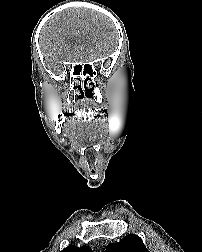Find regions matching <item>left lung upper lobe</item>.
Here are the masks:
<instances>
[{
    "label": "left lung upper lobe",
    "instance_id": "5c2ea615",
    "mask_svg": "<svg viewBox=\"0 0 202 252\" xmlns=\"http://www.w3.org/2000/svg\"><path fill=\"white\" fill-rule=\"evenodd\" d=\"M105 252H149L142 242V239L130 234L125 236L120 242L111 243Z\"/></svg>",
    "mask_w": 202,
    "mask_h": 252
}]
</instances>
